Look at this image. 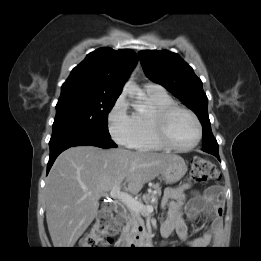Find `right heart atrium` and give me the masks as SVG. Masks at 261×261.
I'll use <instances>...</instances> for the list:
<instances>
[{
  "mask_svg": "<svg viewBox=\"0 0 261 261\" xmlns=\"http://www.w3.org/2000/svg\"><path fill=\"white\" fill-rule=\"evenodd\" d=\"M108 128L112 138L119 144L132 146L134 143L137 133L136 123L123 94L116 99L108 114Z\"/></svg>",
  "mask_w": 261,
  "mask_h": 261,
  "instance_id": "d8ad5b80",
  "label": "right heart atrium"
}]
</instances>
